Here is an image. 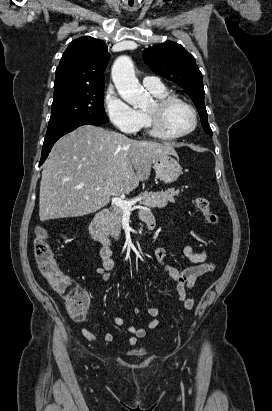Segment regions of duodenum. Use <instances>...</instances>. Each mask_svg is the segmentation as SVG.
<instances>
[{"instance_id":"410a0bca","label":"duodenum","mask_w":272,"mask_h":411,"mask_svg":"<svg viewBox=\"0 0 272 411\" xmlns=\"http://www.w3.org/2000/svg\"><path fill=\"white\" fill-rule=\"evenodd\" d=\"M108 215V209L100 210L91 220L89 225L91 235L102 245V247L105 248H110L111 246L110 236L107 234L104 228V224L106 219L108 218ZM146 225L148 229H151L155 225V220L152 216H149L147 218Z\"/></svg>"}]
</instances>
